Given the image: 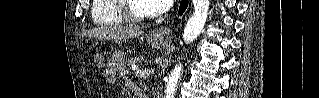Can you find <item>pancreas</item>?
Here are the masks:
<instances>
[{
  "label": "pancreas",
  "instance_id": "cf45deb5",
  "mask_svg": "<svg viewBox=\"0 0 319 98\" xmlns=\"http://www.w3.org/2000/svg\"><path fill=\"white\" fill-rule=\"evenodd\" d=\"M143 61L142 58H131V60L129 61V65H132V64H140L141 62Z\"/></svg>",
  "mask_w": 319,
  "mask_h": 98
}]
</instances>
